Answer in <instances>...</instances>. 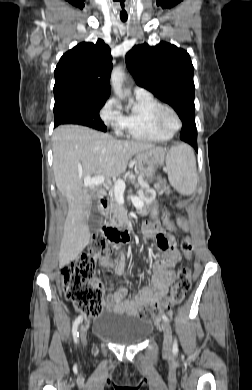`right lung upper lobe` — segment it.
<instances>
[{"mask_svg":"<svg viewBox=\"0 0 252 390\" xmlns=\"http://www.w3.org/2000/svg\"><path fill=\"white\" fill-rule=\"evenodd\" d=\"M113 68L103 40L83 42L66 52L55 69V103L65 100L106 101Z\"/></svg>","mask_w":252,"mask_h":390,"instance_id":"1","label":"right lung upper lobe"}]
</instances>
